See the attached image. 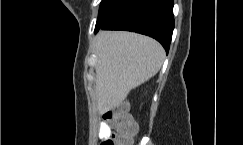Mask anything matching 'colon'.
Returning a JSON list of instances; mask_svg holds the SVG:
<instances>
[{
	"label": "colon",
	"mask_w": 243,
	"mask_h": 145,
	"mask_svg": "<svg viewBox=\"0 0 243 145\" xmlns=\"http://www.w3.org/2000/svg\"><path fill=\"white\" fill-rule=\"evenodd\" d=\"M103 118L112 122L114 129L99 145H131L137 125L128 111V104L121 103L104 113Z\"/></svg>",
	"instance_id": "1"
}]
</instances>
